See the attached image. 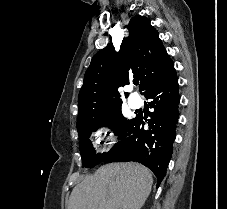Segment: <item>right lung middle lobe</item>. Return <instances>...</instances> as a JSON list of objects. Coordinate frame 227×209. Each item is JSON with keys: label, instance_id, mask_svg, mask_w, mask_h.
Instances as JSON below:
<instances>
[{"label": "right lung middle lobe", "instance_id": "1", "mask_svg": "<svg viewBox=\"0 0 227 209\" xmlns=\"http://www.w3.org/2000/svg\"><path fill=\"white\" fill-rule=\"evenodd\" d=\"M122 100L119 98L109 99L105 102V109L97 115L79 117L77 119V131L80 142V152L83 167L92 168L99 164L106 153L96 154L91 141L88 139L93 131L102 126L111 128L120 140L132 120H126L121 113ZM110 132L107 134L109 135Z\"/></svg>", "mask_w": 227, "mask_h": 209}]
</instances>
